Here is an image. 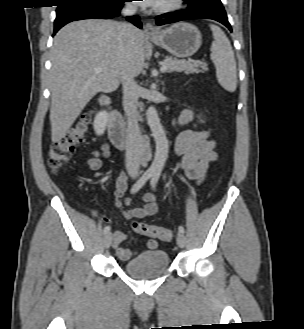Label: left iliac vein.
I'll list each match as a JSON object with an SVG mask.
<instances>
[{
	"mask_svg": "<svg viewBox=\"0 0 304 329\" xmlns=\"http://www.w3.org/2000/svg\"><path fill=\"white\" fill-rule=\"evenodd\" d=\"M185 244H186V237L184 236L183 233L179 232L177 236V245L180 248H184Z\"/></svg>",
	"mask_w": 304,
	"mask_h": 329,
	"instance_id": "obj_1",
	"label": "left iliac vein"
}]
</instances>
